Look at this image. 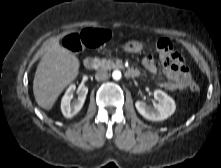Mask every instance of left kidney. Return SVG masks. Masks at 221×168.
<instances>
[{"label":"left kidney","mask_w":221,"mask_h":168,"mask_svg":"<svg viewBox=\"0 0 221 168\" xmlns=\"http://www.w3.org/2000/svg\"><path fill=\"white\" fill-rule=\"evenodd\" d=\"M154 98L158 103L154 107L148 106L142 101H137V111L147 120L162 121L171 116L176 109L175 101L162 90L154 91Z\"/></svg>","instance_id":"5707ae66"}]
</instances>
